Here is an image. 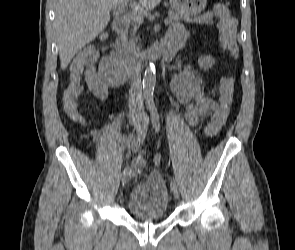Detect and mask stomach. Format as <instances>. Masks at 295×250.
Listing matches in <instances>:
<instances>
[{"mask_svg":"<svg viewBox=\"0 0 295 250\" xmlns=\"http://www.w3.org/2000/svg\"><path fill=\"white\" fill-rule=\"evenodd\" d=\"M207 0H170L172 10L184 17L196 16L206 7Z\"/></svg>","mask_w":295,"mask_h":250,"instance_id":"obj_1","label":"stomach"}]
</instances>
